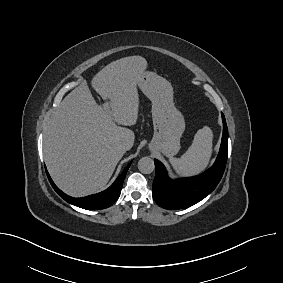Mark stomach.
I'll list each match as a JSON object with an SVG mask.
<instances>
[{
  "label": "stomach",
  "mask_w": 283,
  "mask_h": 283,
  "mask_svg": "<svg viewBox=\"0 0 283 283\" xmlns=\"http://www.w3.org/2000/svg\"><path fill=\"white\" fill-rule=\"evenodd\" d=\"M138 86L152 102L154 135L149 149L167 157L176 155L185 130V120L175 107L171 83L155 73L144 72Z\"/></svg>",
  "instance_id": "1"
}]
</instances>
